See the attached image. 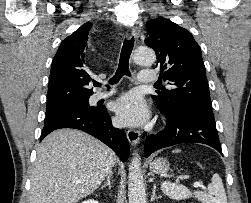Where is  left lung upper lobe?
<instances>
[{
    "label": "left lung upper lobe",
    "instance_id": "1",
    "mask_svg": "<svg viewBox=\"0 0 251 203\" xmlns=\"http://www.w3.org/2000/svg\"><path fill=\"white\" fill-rule=\"evenodd\" d=\"M145 40L157 55L160 76L172 89L157 91L152 98L168 115L194 109L213 116L202 53L192 34L165 18L146 23Z\"/></svg>",
    "mask_w": 251,
    "mask_h": 203
}]
</instances>
